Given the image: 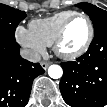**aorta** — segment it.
<instances>
[{"instance_id":"762f6f07","label":"aorta","mask_w":107,"mask_h":107,"mask_svg":"<svg viewBox=\"0 0 107 107\" xmlns=\"http://www.w3.org/2000/svg\"><path fill=\"white\" fill-rule=\"evenodd\" d=\"M48 75L53 79H59L63 75V70L59 65H51L48 68Z\"/></svg>"}]
</instances>
